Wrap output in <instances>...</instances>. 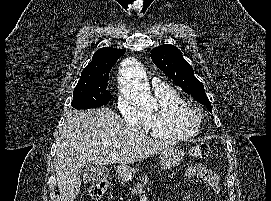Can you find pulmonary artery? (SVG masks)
Listing matches in <instances>:
<instances>
[{
    "label": "pulmonary artery",
    "mask_w": 271,
    "mask_h": 201,
    "mask_svg": "<svg viewBox=\"0 0 271 201\" xmlns=\"http://www.w3.org/2000/svg\"><path fill=\"white\" fill-rule=\"evenodd\" d=\"M152 82L155 86L163 84V81L159 78H154Z\"/></svg>",
    "instance_id": "pulmonary-artery-1"
}]
</instances>
